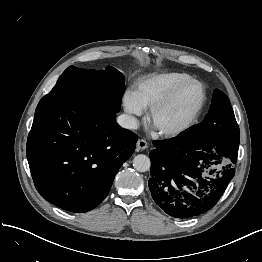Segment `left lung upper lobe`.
<instances>
[{
	"label": "left lung upper lobe",
	"mask_w": 262,
	"mask_h": 262,
	"mask_svg": "<svg viewBox=\"0 0 262 262\" xmlns=\"http://www.w3.org/2000/svg\"><path fill=\"white\" fill-rule=\"evenodd\" d=\"M224 132L239 133V127L228 97L215 89L211 107L203 122L185 130L181 136L208 139Z\"/></svg>",
	"instance_id": "obj_1"
}]
</instances>
